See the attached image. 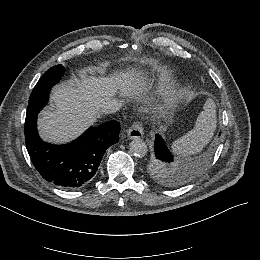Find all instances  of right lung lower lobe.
Listing matches in <instances>:
<instances>
[{
  "label": "right lung lower lobe",
  "instance_id": "obj_1",
  "mask_svg": "<svg viewBox=\"0 0 260 260\" xmlns=\"http://www.w3.org/2000/svg\"><path fill=\"white\" fill-rule=\"evenodd\" d=\"M36 121L37 117L25 121V142L31 160L46 181L66 190L89 185L107 148L119 140V123L109 121L90 127L72 143L55 146L39 138Z\"/></svg>",
  "mask_w": 260,
  "mask_h": 260
}]
</instances>
